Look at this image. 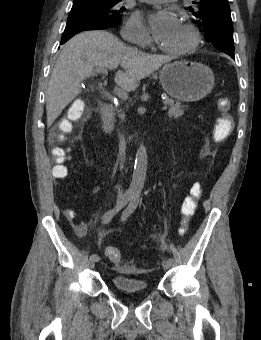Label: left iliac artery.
I'll return each mask as SVG.
<instances>
[{"label":"left iliac artery","instance_id":"1","mask_svg":"<svg viewBox=\"0 0 261 340\" xmlns=\"http://www.w3.org/2000/svg\"><path fill=\"white\" fill-rule=\"evenodd\" d=\"M139 202V194L135 193L132 196V201L130 202V204L127 206V208L122 212V216H121V220L125 221L136 209L137 205ZM171 265L175 263V258L169 256L166 259Z\"/></svg>","mask_w":261,"mask_h":340}]
</instances>
